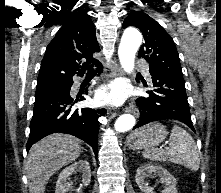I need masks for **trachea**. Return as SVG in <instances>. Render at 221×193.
<instances>
[{"instance_id": "obj_1", "label": "trachea", "mask_w": 221, "mask_h": 193, "mask_svg": "<svg viewBox=\"0 0 221 193\" xmlns=\"http://www.w3.org/2000/svg\"><path fill=\"white\" fill-rule=\"evenodd\" d=\"M94 72H95V70L93 69V67L88 68V73H94Z\"/></svg>"}]
</instances>
